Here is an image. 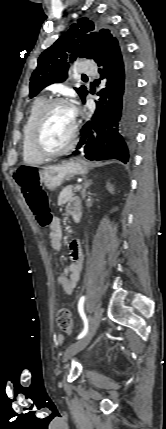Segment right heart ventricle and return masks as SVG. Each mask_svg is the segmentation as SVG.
Listing matches in <instances>:
<instances>
[{"label":"right heart ventricle","instance_id":"1","mask_svg":"<svg viewBox=\"0 0 166 429\" xmlns=\"http://www.w3.org/2000/svg\"><path fill=\"white\" fill-rule=\"evenodd\" d=\"M46 102L44 97H38L34 100L28 118L23 128V137H22V156L24 162L28 164H39L44 161V158L36 155L32 152L29 147V134L31 130L32 123L39 112L42 105Z\"/></svg>","mask_w":166,"mask_h":429}]
</instances>
